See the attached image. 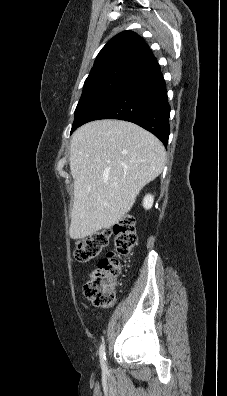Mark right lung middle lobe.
I'll return each mask as SVG.
<instances>
[{"mask_svg": "<svg viewBox=\"0 0 227 396\" xmlns=\"http://www.w3.org/2000/svg\"><path fill=\"white\" fill-rule=\"evenodd\" d=\"M133 71L123 68L107 69L89 74L75 110L71 133L80 125L88 112L110 94Z\"/></svg>", "mask_w": 227, "mask_h": 396, "instance_id": "1", "label": "right lung middle lobe"}]
</instances>
